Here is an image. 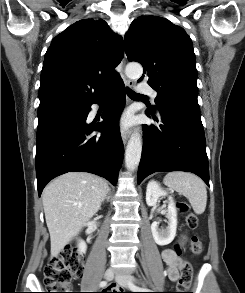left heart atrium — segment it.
I'll return each mask as SVG.
<instances>
[{"instance_id": "39dd6f15", "label": "left heart atrium", "mask_w": 245, "mask_h": 293, "mask_svg": "<svg viewBox=\"0 0 245 293\" xmlns=\"http://www.w3.org/2000/svg\"><path fill=\"white\" fill-rule=\"evenodd\" d=\"M129 124H130V120L129 119H124L123 122H122V126L123 127L129 126Z\"/></svg>"}]
</instances>
